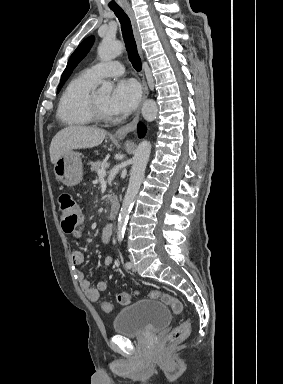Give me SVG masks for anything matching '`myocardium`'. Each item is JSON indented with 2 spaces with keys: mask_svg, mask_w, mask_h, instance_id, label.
<instances>
[{
  "mask_svg": "<svg viewBox=\"0 0 283 384\" xmlns=\"http://www.w3.org/2000/svg\"><path fill=\"white\" fill-rule=\"evenodd\" d=\"M84 110L93 122L110 123L114 121V117L106 116L101 112L93 94H89L85 102Z\"/></svg>",
  "mask_w": 283,
  "mask_h": 384,
  "instance_id": "1",
  "label": "myocardium"
}]
</instances>
